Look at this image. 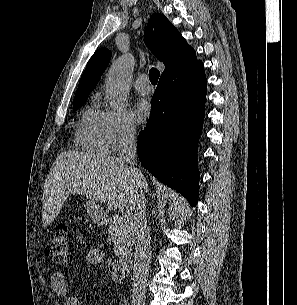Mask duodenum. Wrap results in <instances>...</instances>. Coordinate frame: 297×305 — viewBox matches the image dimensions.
<instances>
[{"label":"duodenum","mask_w":297,"mask_h":305,"mask_svg":"<svg viewBox=\"0 0 297 305\" xmlns=\"http://www.w3.org/2000/svg\"><path fill=\"white\" fill-rule=\"evenodd\" d=\"M119 263L124 270H130L133 265V256L129 253H122L119 256Z\"/></svg>","instance_id":"obj_1"}]
</instances>
